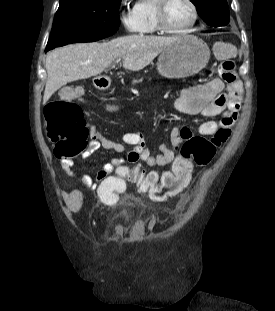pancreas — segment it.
<instances>
[{"label":"pancreas","mask_w":275,"mask_h":311,"mask_svg":"<svg viewBox=\"0 0 275 311\" xmlns=\"http://www.w3.org/2000/svg\"><path fill=\"white\" fill-rule=\"evenodd\" d=\"M142 82V79H139V80H133L132 84H136V83H140Z\"/></svg>","instance_id":"pancreas-1"}]
</instances>
